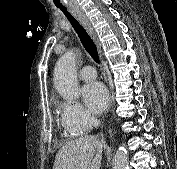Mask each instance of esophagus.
<instances>
[{
	"label": "esophagus",
	"mask_w": 177,
	"mask_h": 169,
	"mask_svg": "<svg viewBox=\"0 0 177 169\" xmlns=\"http://www.w3.org/2000/svg\"><path fill=\"white\" fill-rule=\"evenodd\" d=\"M69 11L78 19V21L82 24V26L89 32V34L93 37L94 41L98 45V49L101 55V45L99 43L98 37L92 27L91 22L81 9L79 5L69 7Z\"/></svg>",
	"instance_id": "34e87169"
}]
</instances>
